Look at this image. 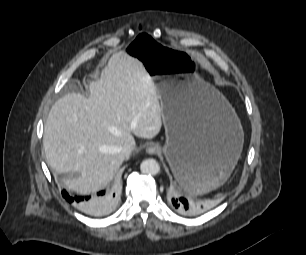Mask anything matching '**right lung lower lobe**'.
<instances>
[{"label": "right lung lower lobe", "mask_w": 306, "mask_h": 255, "mask_svg": "<svg viewBox=\"0 0 306 255\" xmlns=\"http://www.w3.org/2000/svg\"><path fill=\"white\" fill-rule=\"evenodd\" d=\"M63 197L73 203L77 208L90 215H102L107 212L115 201V193L112 191H101L94 197L70 196L66 190L62 191Z\"/></svg>", "instance_id": "98d812e1"}]
</instances>
